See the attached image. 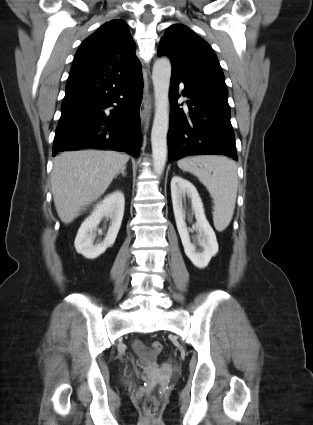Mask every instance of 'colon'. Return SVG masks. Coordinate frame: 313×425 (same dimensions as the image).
Listing matches in <instances>:
<instances>
[{"mask_svg":"<svg viewBox=\"0 0 313 425\" xmlns=\"http://www.w3.org/2000/svg\"><path fill=\"white\" fill-rule=\"evenodd\" d=\"M163 345L155 341L151 344V350L153 353H160ZM143 410L148 416H154L158 410V401L154 396H147L143 401Z\"/></svg>","mask_w":313,"mask_h":425,"instance_id":"obj_1","label":"colon"}]
</instances>
